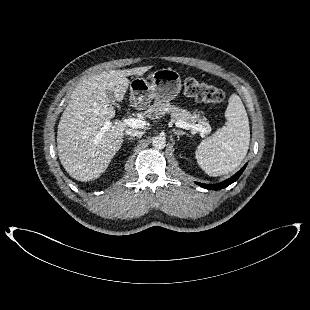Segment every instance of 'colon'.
<instances>
[{"mask_svg": "<svg viewBox=\"0 0 310 310\" xmlns=\"http://www.w3.org/2000/svg\"><path fill=\"white\" fill-rule=\"evenodd\" d=\"M184 91L186 95L190 97L211 104L221 103L225 99V94L221 89L199 82L194 78H188L185 80Z\"/></svg>", "mask_w": 310, "mask_h": 310, "instance_id": "colon-1", "label": "colon"}]
</instances>
